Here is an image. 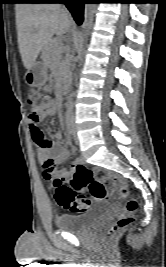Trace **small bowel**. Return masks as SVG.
<instances>
[{
    "instance_id": "1",
    "label": "small bowel",
    "mask_w": 166,
    "mask_h": 267,
    "mask_svg": "<svg viewBox=\"0 0 166 267\" xmlns=\"http://www.w3.org/2000/svg\"><path fill=\"white\" fill-rule=\"evenodd\" d=\"M57 104H52V106L45 111L43 114L40 115V117L35 120L32 117H29V128L31 131V135L33 138V141L37 147V154L39 159L45 164L50 163L52 166H57L61 164L66 157V151L61 145L60 141L62 140V132L56 131L53 134V137L56 141H50L47 140L45 137V143L40 144L36 139V132L38 130H41L39 127V123L46 117L53 116L57 111ZM42 131V130H41ZM53 174V171L51 173H48L44 170V177L49 180ZM105 201L108 199L109 201L112 199L110 196L107 198L106 196L103 198Z\"/></svg>"
}]
</instances>
